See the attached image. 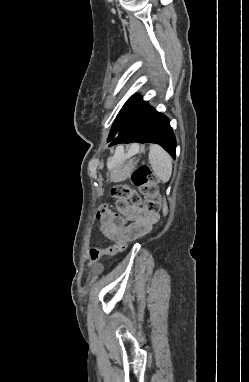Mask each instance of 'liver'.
Instances as JSON below:
<instances>
[{
    "instance_id": "6515ba94",
    "label": "liver",
    "mask_w": 249,
    "mask_h": 382,
    "mask_svg": "<svg viewBox=\"0 0 249 382\" xmlns=\"http://www.w3.org/2000/svg\"><path fill=\"white\" fill-rule=\"evenodd\" d=\"M139 151V146L138 145H132L129 152L127 154H124V149L123 147H118L116 149V152H115V155H114V159H126L134 154H136L137 152ZM111 160L108 161V167L110 166L111 164Z\"/></svg>"
}]
</instances>
